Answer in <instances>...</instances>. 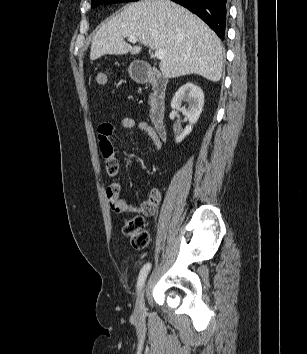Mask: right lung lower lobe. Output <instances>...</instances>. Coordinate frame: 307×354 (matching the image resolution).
I'll list each match as a JSON object with an SVG mask.
<instances>
[{
  "label": "right lung lower lobe",
  "instance_id": "1",
  "mask_svg": "<svg viewBox=\"0 0 307 354\" xmlns=\"http://www.w3.org/2000/svg\"><path fill=\"white\" fill-rule=\"evenodd\" d=\"M198 15L216 34L224 39L227 0H172Z\"/></svg>",
  "mask_w": 307,
  "mask_h": 354
}]
</instances>
